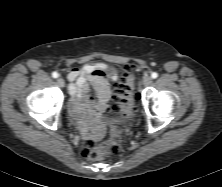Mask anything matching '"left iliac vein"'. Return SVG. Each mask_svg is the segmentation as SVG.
Returning a JSON list of instances; mask_svg holds the SVG:
<instances>
[{
    "label": "left iliac vein",
    "mask_w": 222,
    "mask_h": 187,
    "mask_svg": "<svg viewBox=\"0 0 222 187\" xmlns=\"http://www.w3.org/2000/svg\"><path fill=\"white\" fill-rule=\"evenodd\" d=\"M144 86H149L152 83V78L150 76H145L142 80Z\"/></svg>",
    "instance_id": "1"
}]
</instances>
